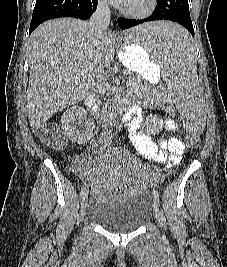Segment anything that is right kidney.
<instances>
[{
  "label": "right kidney",
  "instance_id": "obj_1",
  "mask_svg": "<svg viewBox=\"0 0 227 267\" xmlns=\"http://www.w3.org/2000/svg\"><path fill=\"white\" fill-rule=\"evenodd\" d=\"M64 134L74 143L85 144L93 137L95 123L87 118V113L80 106L68 108L61 117Z\"/></svg>",
  "mask_w": 227,
  "mask_h": 267
}]
</instances>
